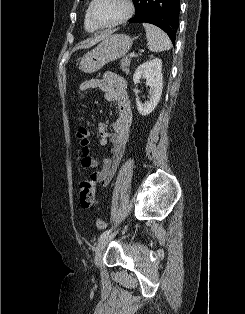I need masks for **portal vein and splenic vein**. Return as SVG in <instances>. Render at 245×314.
I'll list each match as a JSON object with an SVG mask.
<instances>
[{
    "label": "portal vein and splenic vein",
    "mask_w": 245,
    "mask_h": 314,
    "mask_svg": "<svg viewBox=\"0 0 245 314\" xmlns=\"http://www.w3.org/2000/svg\"><path fill=\"white\" fill-rule=\"evenodd\" d=\"M135 56H136V54H135L134 51L129 54V57H130V58L135 57Z\"/></svg>",
    "instance_id": "1"
}]
</instances>
